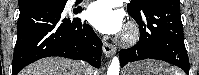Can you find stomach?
I'll use <instances>...</instances> for the list:
<instances>
[{"label":"stomach","mask_w":199,"mask_h":75,"mask_svg":"<svg viewBox=\"0 0 199 75\" xmlns=\"http://www.w3.org/2000/svg\"><path fill=\"white\" fill-rule=\"evenodd\" d=\"M169 67L159 61H139L128 65L124 75H168Z\"/></svg>","instance_id":"1"}]
</instances>
